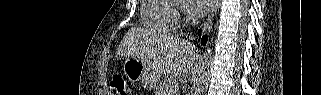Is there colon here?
<instances>
[{
	"label": "colon",
	"instance_id": "1",
	"mask_svg": "<svg viewBox=\"0 0 321 95\" xmlns=\"http://www.w3.org/2000/svg\"><path fill=\"white\" fill-rule=\"evenodd\" d=\"M110 89L114 94L118 95H129L130 90L124 79L119 76L115 75L111 82H110Z\"/></svg>",
	"mask_w": 321,
	"mask_h": 95
}]
</instances>
